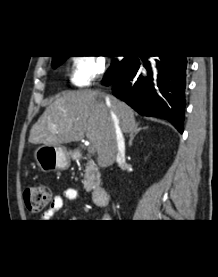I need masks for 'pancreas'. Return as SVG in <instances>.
<instances>
[{
  "label": "pancreas",
  "instance_id": "1",
  "mask_svg": "<svg viewBox=\"0 0 218 277\" xmlns=\"http://www.w3.org/2000/svg\"><path fill=\"white\" fill-rule=\"evenodd\" d=\"M99 181H100V173L98 169L93 163L88 162L86 164L84 174H83V180H82L85 190L91 191L93 186Z\"/></svg>",
  "mask_w": 218,
  "mask_h": 277
}]
</instances>
